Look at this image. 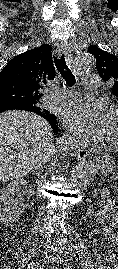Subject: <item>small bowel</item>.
<instances>
[{
    "mask_svg": "<svg viewBox=\"0 0 118 269\" xmlns=\"http://www.w3.org/2000/svg\"><path fill=\"white\" fill-rule=\"evenodd\" d=\"M114 225L118 227V216L114 219ZM105 234L111 243L118 248V231L108 228L105 229Z\"/></svg>",
    "mask_w": 118,
    "mask_h": 269,
    "instance_id": "small-bowel-1",
    "label": "small bowel"
}]
</instances>
